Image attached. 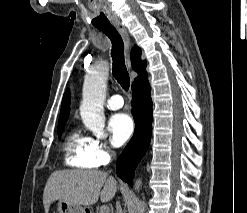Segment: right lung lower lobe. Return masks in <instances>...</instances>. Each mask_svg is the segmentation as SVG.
<instances>
[{
  "label": "right lung lower lobe",
  "mask_w": 247,
  "mask_h": 213,
  "mask_svg": "<svg viewBox=\"0 0 247 213\" xmlns=\"http://www.w3.org/2000/svg\"><path fill=\"white\" fill-rule=\"evenodd\" d=\"M132 114L135 131L132 139L117 160V174L130 186L137 164L148 149L152 132V100L147 75L132 84Z\"/></svg>",
  "instance_id": "1"
}]
</instances>
